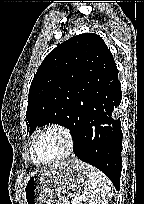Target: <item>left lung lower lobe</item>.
<instances>
[{
  "instance_id": "0a47b994",
  "label": "left lung lower lobe",
  "mask_w": 144,
  "mask_h": 204,
  "mask_svg": "<svg viewBox=\"0 0 144 204\" xmlns=\"http://www.w3.org/2000/svg\"><path fill=\"white\" fill-rule=\"evenodd\" d=\"M115 61L100 64L89 87L80 130L73 135L75 156L100 169L120 188L122 130L115 110L121 85Z\"/></svg>"
}]
</instances>
